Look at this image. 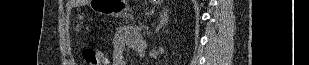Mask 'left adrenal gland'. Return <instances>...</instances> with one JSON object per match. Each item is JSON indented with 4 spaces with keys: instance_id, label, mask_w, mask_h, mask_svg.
<instances>
[{
    "instance_id": "1",
    "label": "left adrenal gland",
    "mask_w": 309,
    "mask_h": 65,
    "mask_svg": "<svg viewBox=\"0 0 309 65\" xmlns=\"http://www.w3.org/2000/svg\"><path fill=\"white\" fill-rule=\"evenodd\" d=\"M168 23V14L167 11L163 13V16H161V19L156 27V32H158L162 27H164Z\"/></svg>"
}]
</instances>
